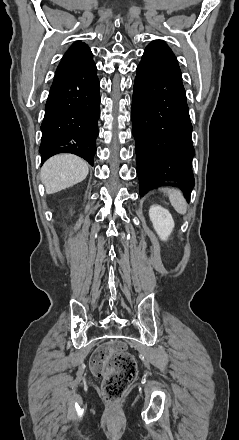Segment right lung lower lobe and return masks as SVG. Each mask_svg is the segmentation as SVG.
I'll list each match as a JSON object with an SVG mask.
<instances>
[{"instance_id": "obj_1", "label": "right lung lower lobe", "mask_w": 239, "mask_h": 440, "mask_svg": "<svg viewBox=\"0 0 239 440\" xmlns=\"http://www.w3.org/2000/svg\"><path fill=\"white\" fill-rule=\"evenodd\" d=\"M95 63L57 67L45 106L39 148L42 164L59 153H72L93 166L100 116Z\"/></svg>"}]
</instances>
